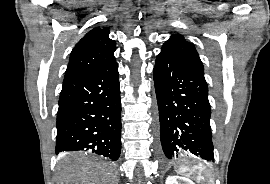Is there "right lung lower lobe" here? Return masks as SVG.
I'll use <instances>...</instances> for the list:
<instances>
[{
  "label": "right lung lower lobe",
  "mask_w": 270,
  "mask_h": 184,
  "mask_svg": "<svg viewBox=\"0 0 270 184\" xmlns=\"http://www.w3.org/2000/svg\"><path fill=\"white\" fill-rule=\"evenodd\" d=\"M91 150L116 161L121 152L118 65L64 79L57 112L56 154Z\"/></svg>",
  "instance_id": "98d812e1"
}]
</instances>
